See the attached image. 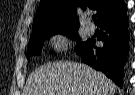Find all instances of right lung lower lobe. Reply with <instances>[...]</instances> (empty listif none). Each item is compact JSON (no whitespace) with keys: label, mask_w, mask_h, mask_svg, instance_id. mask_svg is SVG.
Returning a JSON list of instances; mask_svg holds the SVG:
<instances>
[{"label":"right lung lower lobe","mask_w":135,"mask_h":95,"mask_svg":"<svg viewBox=\"0 0 135 95\" xmlns=\"http://www.w3.org/2000/svg\"><path fill=\"white\" fill-rule=\"evenodd\" d=\"M99 27L103 31L98 40L104 42L103 47H96L95 40L89 39L76 53L85 64L103 72L122 87L123 65L128 51L127 16L105 21Z\"/></svg>","instance_id":"obj_1"}]
</instances>
